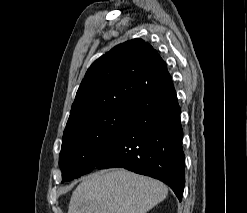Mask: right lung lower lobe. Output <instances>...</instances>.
Here are the masks:
<instances>
[{
	"label": "right lung lower lobe",
	"instance_id": "right-lung-lower-lobe-1",
	"mask_svg": "<svg viewBox=\"0 0 247 213\" xmlns=\"http://www.w3.org/2000/svg\"><path fill=\"white\" fill-rule=\"evenodd\" d=\"M131 111L95 168L121 167L166 183L181 201L185 157L180 107L172 81L132 99Z\"/></svg>",
	"mask_w": 247,
	"mask_h": 213
}]
</instances>
